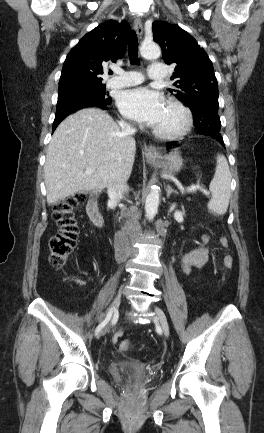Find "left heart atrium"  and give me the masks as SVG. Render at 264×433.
<instances>
[{"label": "left heart atrium", "mask_w": 264, "mask_h": 433, "mask_svg": "<svg viewBox=\"0 0 264 433\" xmlns=\"http://www.w3.org/2000/svg\"><path fill=\"white\" fill-rule=\"evenodd\" d=\"M117 104L126 117L149 126L158 124L166 108L163 96L146 87L122 92Z\"/></svg>", "instance_id": "left-heart-atrium-1"}]
</instances>
